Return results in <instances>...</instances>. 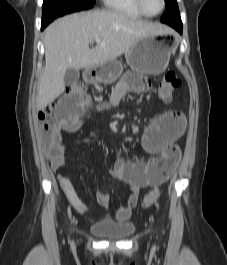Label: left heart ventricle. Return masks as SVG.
<instances>
[{
  "label": "left heart ventricle",
  "instance_id": "b2bd125f",
  "mask_svg": "<svg viewBox=\"0 0 227 265\" xmlns=\"http://www.w3.org/2000/svg\"><path fill=\"white\" fill-rule=\"evenodd\" d=\"M144 9L150 13H157L161 8V0H143Z\"/></svg>",
  "mask_w": 227,
  "mask_h": 265
}]
</instances>
